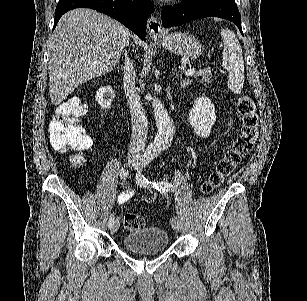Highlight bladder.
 Here are the masks:
<instances>
[{"label":"bladder","instance_id":"1","mask_svg":"<svg viewBox=\"0 0 307 301\" xmlns=\"http://www.w3.org/2000/svg\"><path fill=\"white\" fill-rule=\"evenodd\" d=\"M121 243L126 250L155 253L167 249L168 237L165 230L150 227L130 232Z\"/></svg>","mask_w":307,"mask_h":301}]
</instances>
